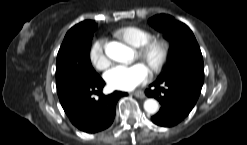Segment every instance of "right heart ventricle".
<instances>
[{
  "label": "right heart ventricle",
  "instance_id": "e07e8e85",
  "mask_svg": "<svg viewBox=\"0 0 247 145\" xmlns=\"http://www.w3.org/2000/svg\"><path fill=\"white\" fill-rule=\"evenodd\" d=\"M116 35L133 47H140L153 37L150 31L136 26L120 28L116 31Z\"/></svg>",
  "mask_w": 247,
  "mask_h": 145
}]
</instances>
